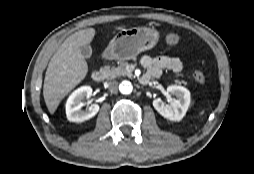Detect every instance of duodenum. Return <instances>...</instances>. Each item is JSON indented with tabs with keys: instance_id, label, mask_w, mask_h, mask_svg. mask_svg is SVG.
Wrapping results in <instances>:
<instances>
[{
	"instance_id": "410a0bca",
	"label": "duodenum",
	"mask_w": 254,
	"mask_h": 174,
	"mask_svg": "<svg viewBox=\"0 0 254 174\" xmlns=\"http://www.w3.org/2000/svg\"><path fill=\"white\" fill-rule=\"evenodd\" d=\"M91 77L94 82L99 83L104 80L105 74H104V72H102L100 70H96L92 73ZM150 80H151V77H145V78L141 77V79H140L142 84H148L150 82Z\"/></svg>"
}]
</instances>
